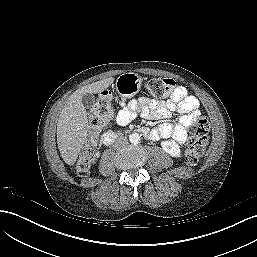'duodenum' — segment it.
<instances>
[{"instance_id": "410a0bca", "label": "duodenum", "mask_w": 257, "mask_h": 257, "mask_svg": "<svg viewBox=\"0 0 257 257\" xmlns=\"http://www.w3.org/2000/svg\"><path fill=\"white\" fill-rule=\"evenodd\" d=\"M138 132L143 134L144 136L150 135V130L146 127H141L140 129H138ZM118 134H119L118 131H112V130L105 132L102 137L103 144L106 146L111 145L117 138Z\"/></svg>"}]
</instances>
